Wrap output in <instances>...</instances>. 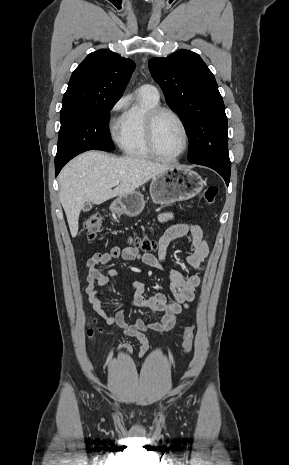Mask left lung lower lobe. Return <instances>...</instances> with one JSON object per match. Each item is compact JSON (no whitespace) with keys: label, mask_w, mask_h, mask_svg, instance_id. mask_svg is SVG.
I'll return each mask as SVG.
<instances>
[{"label":"left lung lower lobe","mask_w":289,"mask_h":465,"mask_svg":"<svg viewBox=\"0 0 289 465\" xmlns=\"http://www.w3.org/2000/svg\"><path fill=\"white\" fill-rule=\"evenodd\" d=\"M191 163L212 168L213 170L217 171L223 177V179L226 182V185L227 186L229 185L231 164L230 165L223 164V163L214 162V161H195Z\"/></svg>","instance_id":"1"}]
</instances>
